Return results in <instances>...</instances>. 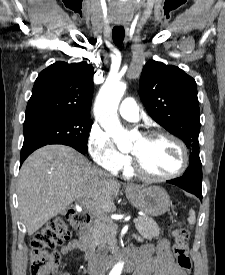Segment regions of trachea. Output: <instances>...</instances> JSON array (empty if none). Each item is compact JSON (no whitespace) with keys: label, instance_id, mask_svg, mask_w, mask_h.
<instances>
[{"label":"trachea","instance_id":"3493384b","mask_svg":"<svg viewBox=\"0 0 225 275\" xmlns=\"http://www.w3.org/2000/svg\"><path fill=\"white\" fill-rule=\"evenodd\" d=\"M125 31L123 27H114L112 30L113 42L117 46H121L124 40Z\"/></svg>","mask_w":225,"mask_h":275}]
</instances>
